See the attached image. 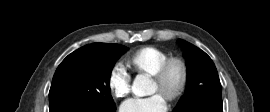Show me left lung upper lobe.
Returning a JSON list of instances; mask_svg holds the SVG:
<instances>
[{"label": "left lung upper lobe", "instance_id": "5c2ea615", "mask_svg": "<svg viewBox=\"0 0 270 112\" xmlns=\"http://www.w3.org/2000/svg\"><path fill=\"white\" fill-rule=\"evenodd\" d=\"M178 44L185 49L189 85L173 112H181L198 104L223 107L221 84L211 58L198 47L182 39L178 40Z\"/></svg>", "mask_w": 270, "mask_h": 112}]
</instances>
